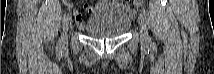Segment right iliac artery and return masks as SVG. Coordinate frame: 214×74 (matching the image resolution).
<instances>
[{
    "mask_svg": "<svg viewBox=\"0 0 214 74\" xmlns=\"http://www.w3.org/2000/svg\"><path fill=\"white\" fill-rule=\"evenodd\" d=\"M69 16V13H65L64 16H63V20L65 21ZM62 47V43H61V40L58 42L57 44V48L61 49Z\"/></svg>",
    "mask_w": 214,
    "mask_h": 74,
    "instance_id": "right-iliac-artery-1",
    "label": "right iliac artery"
}]
</instances>
